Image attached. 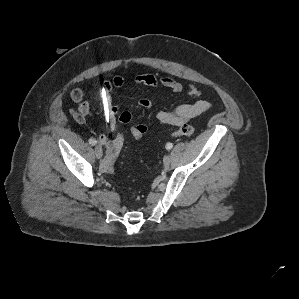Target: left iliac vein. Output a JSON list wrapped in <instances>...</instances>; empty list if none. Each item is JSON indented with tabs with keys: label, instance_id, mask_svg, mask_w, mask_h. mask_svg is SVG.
<instances>
[{
	"label": "left iliac vein",
	"instance_id": "left-iliac-vein-1",
	"mask_svg": "<svg viewBox=\"0 0 299 299\" xmlns=\"http://www.w3.org/2000/svg\"><path fill=\"white\" fill-rule=\"evenodd\" d=\"M170 162H171V158L169 155H165L164 158H163V164L164 166L168 167L170 165Z\"/></svg>",
	"mask_w": 299,
	"mask_h": 299
}]
</instances>
